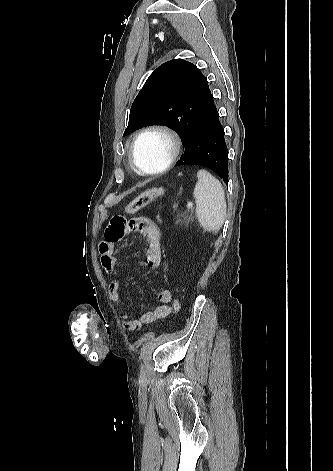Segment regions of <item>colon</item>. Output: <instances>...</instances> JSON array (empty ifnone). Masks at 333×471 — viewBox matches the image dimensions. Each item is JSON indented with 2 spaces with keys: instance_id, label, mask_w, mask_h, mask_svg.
Listing matches in <instances>:
<instances>
[{
  "instance_id": "1",
  "label": "colon",
  "mask_w": 333,
  "mask_h": 471,
  "mask_svg": "<svg viewBox=\"0 0 333 471\" xmlns=\"http://www.w3.org/2000/svg\"><path fill=\"white\" fill-rule=\"evenodd\" d=\"M164 193V188L161 186H154L151 188H148L145 190L143 193H141L139 196H137L135 199L130 201L126 207H125V212L126 214H134L150 204L152 201L157 199L158 197L162 196ZM173 309L176 314H178L180 310V302L178 299H174L173 301Z\"/></svg>"
}]
</instances>
